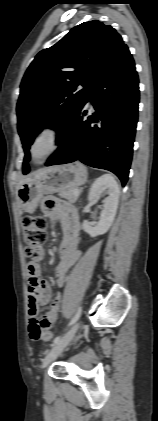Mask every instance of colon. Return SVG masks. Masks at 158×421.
<instances>
[{
	"label": "colon",
	"mask_w": 158,
	"mask_h": 421,
	"mask_svg": "<svg viewBox=\"0 0 158 421\" xmlns=\"http://www.w3.org/2000/svg\"><path fill=\"white\" fill-rule=\"evenodd\" d=\"M25 253L31 260L35 259L41 245L47 239L46 221L41 216H25L22 220ZM51 332L35 330L34 339L50 340Z\"/></svg>",
	"instance_id": "1"
}]
</instances>
